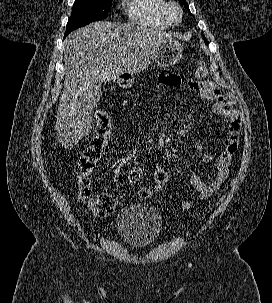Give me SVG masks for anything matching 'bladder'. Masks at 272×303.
I'll list each match as a JSON object with an SVG mask.
<instances>
[{
  "instance_id": "bladder-1",
  "label": "bladder",
  "mask_w": 272,
  "mask_h": 303,
  "mask_svg": "<svg viewBox=\"0 0 272 303\" xmlns=\"http://www.w3.org/2000/svg\"><path fill=\"white\" fill-rule=\"evenodd\" d=\"M120 238L133 248L150 245L162 230V219L157 210L146 204L123 207L116 219Z\"/></svg>"
}]
</instances>
